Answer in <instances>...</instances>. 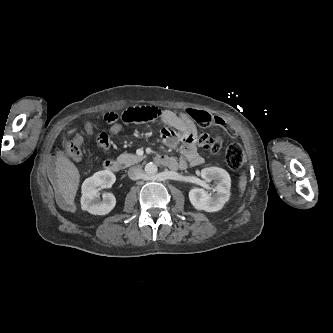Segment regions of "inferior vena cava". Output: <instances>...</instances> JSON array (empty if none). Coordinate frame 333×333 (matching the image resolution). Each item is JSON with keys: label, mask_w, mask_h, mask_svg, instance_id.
Wrapping results in <instances>:
<instances>
[{"label": "inferior vena cava", "mask_w": 333, "mask_h": 333, "mask_svg": "<svg viewBox=\"0 0 333 333\" xmlns=\"http://www.w3.org/2000/svg\"><path fill=\"white\" fill-rule=\"evenodd\" d=\"M128 176L132 180H138V179L142 178V176H143V170L139 166L131 167L128 170Z\"/></svg>", "instance_id": "inferior-vena-cava-1"}]
</instances>
